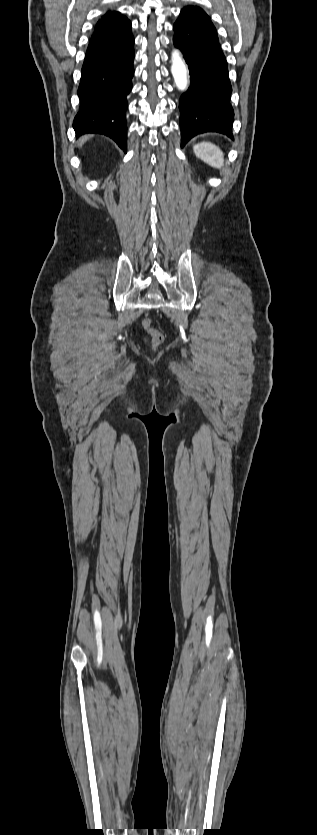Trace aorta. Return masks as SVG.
Segmentation results:
<instances>
[{
  "mask_svg": "<svg viewBox=\"0 0 317 835\" xmlns=\"http://www.w3.org/2000/svg\"><path fill=\"white\" fill-rule=\"evenodd\" d=\"M171 63V73L174 78V82L179 90L185 91L188 87V71L179 51H173Z\"/></svg>",
  "mask_w": 317,
  "mask_h": 835,
  "instance_id": "aorta-1",
  "label": "aorta"
}]
</instances>
